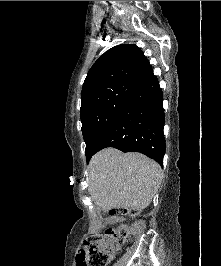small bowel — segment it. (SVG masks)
Segmentation results:
<instances>
[{"mask_svg": "<svg viewBox=\"0 0 221 266\" xmlns=\"http://www.w3.org/2000/svg\"><path fill=\"white\" fill-rule=\"evenodd\" d=\"M78 251H85V246H78ZM74 257L76 258V266H87L85 262V252H74Z\"/></svg>", "mask_w": 221, "mask_h": 266, "instance_id": "c3829d8e", "label": "small bowel"}]
</instances>
